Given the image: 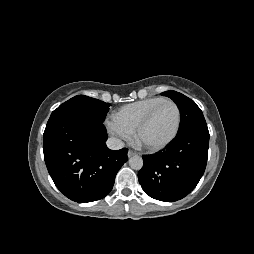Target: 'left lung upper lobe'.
Returning a JSON list of instances; mask_svg holds the SVG:
<instances>
[{
    "mask_svg": "<svg viewBox=\"0 0 254 254\" xmlns=\"http://www.w3.org/2000/svg\"><path fill=\"white\" fill-rule=\"evenodd\" d=\"M161 94L171 98L177 104L181 112V124L178 134L192 129H207L203 113L193 100L179 92L171 90Z\"/></svg>",
    "mask_w": 254,
    "mask_h": 254,
    "instance_id": "1",
    "label": "left lung upper lobe"
}]
</instances>
